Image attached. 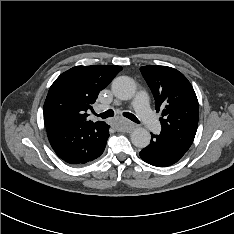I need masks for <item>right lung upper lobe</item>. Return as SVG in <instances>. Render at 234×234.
Returning <instances> with one entry per match:
<instances>
[{
  "label": "right lung upper lobe",
  "mask_w": 234,
  "mask_h": 234,
  "mask_svg": "<svg viewBox=\"0 0 234 234\" xmlns=\"http://www.w3.org/2000/svg\"><path fill=\"white\" fill-rule=\"evenodd\" d=\"M122 70L115 65L76 66L62 73L51 85L44 103L46 129L87 120L99 92ZM96 123H102L98 121Z\"/></svg>",
  "instance_id": "cb5924a9"
}]
</instances>
